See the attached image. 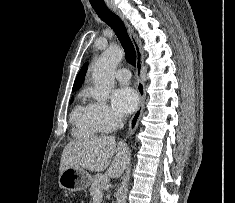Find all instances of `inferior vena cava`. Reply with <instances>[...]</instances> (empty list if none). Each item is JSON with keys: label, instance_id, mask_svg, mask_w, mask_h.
<instances>
[{"label": "inferior vena cava", "instance_id": "1", "mask_svg": "<svg viewBox=\"0 0 235 203\" xmlns=\"http://www.w3.org/2000/svg\"><path fill=\"white\" fill-rule=\"evenodd\" d=\"M123 122H124L123 117L119 116L117 118V124H118L117 126L120 127V128L123 127V125H124Z\"/></svg>", "mask_w": 235, "mask_h": 203}]
</instances>
